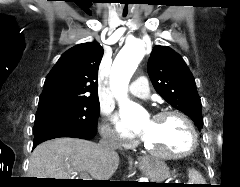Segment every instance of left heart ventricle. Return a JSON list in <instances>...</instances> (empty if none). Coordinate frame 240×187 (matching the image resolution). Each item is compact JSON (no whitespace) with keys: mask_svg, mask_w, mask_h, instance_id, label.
I'll use <instances>...</instances> for the list:
<instances>
[{"mask_svg":"<svg viewBox=\"0 0 240 187\" xmlns=\"http://www.w3.org/2000/svg\"><path fill=\"white\" fill-rule=\"evenodd\" d=\"M149 147L160 152H181L187 149L190 138L185 125L175 116L146 120L140 126Z\"/></svg>","mask_w":240,"mask_h":187,"instance_id":"b2bd125f","label":"left heart ventricle"}]
</instances>
